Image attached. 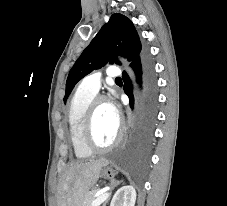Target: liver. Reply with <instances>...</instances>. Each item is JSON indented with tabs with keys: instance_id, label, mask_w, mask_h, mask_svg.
Returning <instances> with one entry per match:
<instances>
[{
	"instance_id": "liver-1",
	"label": "liver",
	"mask_w": 227,
	"mask_h": 206,
	"mask_svg": "<svg viewBox=\"0 0 227 206\" xmlns=\"http://www.w3.org/2000/svg\"><path fill=\"white\" fill-rule=\"evenodd\" d=\"M106 161L101 158L70 164L57 187V206H81L84 196L97 182Z\"/></svg>"
}]
</instances>
